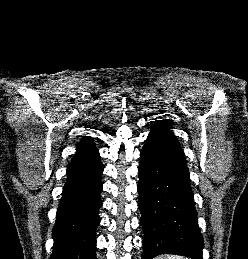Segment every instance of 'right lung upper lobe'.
I'll return each mask as SVG.
<instances>
[{"instance_id":"obj_1","label":"right lung upper lobe","mask_w":248,"mask_h":259,"mask_svg":"<svg viewBox=\"0 0 248 259\" xmlns=\"http://www.w3.org/2000/svg\"><path fill=\"white\" fill-rule=\"evenodd\" d=\"M97 152L98 151L92 139L90 137H84L77 146V152L73 160L87 158Z\"/></svg>"}]
</instances>
